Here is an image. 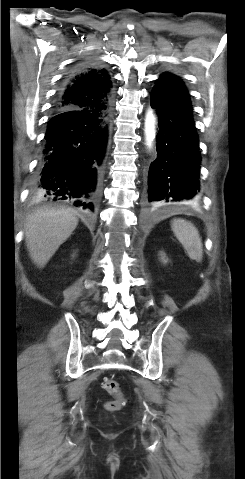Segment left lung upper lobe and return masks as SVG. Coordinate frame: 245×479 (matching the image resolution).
Returning a JSON list of instances; mask_svg holds the SVG:
<instances>
[{
	"label": "left lung upper lobe",
	"instance_id": "obj_1",
	"mask_svg": "<svg viewBox=\"0 0 245 479\" xmlns=\"http://www.w3.org/2000/svg\"><path fill=\"white\" fill-rule=\"evenodd\" d=\"M169 74H170V73H165V74H163V75H169Z\"/></svg>",
	"mask_w": 245,
	"mask_h": 479
}]
</instances>
